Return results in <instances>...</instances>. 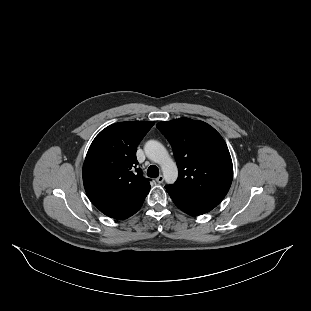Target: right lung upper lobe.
<instances>
[{"label": "right lung upper lobe", "instance_id": "cb5924a9", "mask_svg": "<svg viewBox=\"0 0 311 311\" xmlns=\"http://www.w3.org/2000/svg\"><path fill=\"white\" fill-rule=\"evenodd\" d=\"M154 122H121L93 140L83 165V183L91 202L105 215L126 219L142 206L150 190L136 158L140 141Z\"/></svg>", "mask_w": 311, "mask_h": 311}]
</instances>
